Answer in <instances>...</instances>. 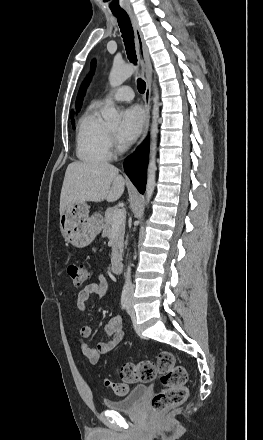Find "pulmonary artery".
Returning <instances> with one entry per match:
<instances>
[{"mask_svg": "<svg viewBox=\"0 0 263 440\" xmlns=\"http://www.w3.org/2000/svg\"><path fill=\"white\" fill-rule=\"evenodd\" d=\"M134 98L133 89L124 85L111 92L107 97L99 101L100 104L110 103L114 101H131Z\"/></svg>", "mask_w": 263, "mask_h": 440, "instance_id": "obj_1", "label": "pulmonary artery"}]
</instances>
